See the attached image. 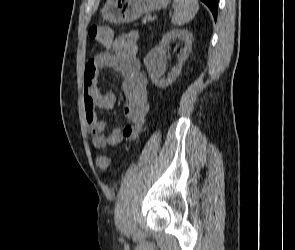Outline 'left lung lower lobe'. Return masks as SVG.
<instances>
[{
	"label": "left lung lower lobe",
	"mask_w": 295,
	"mask_h": 250,
	"mask_svg": "<svg viewBox=\"0 0 295 250\" xmlns=\"http://www.w3.org/2000/svg\"><path fill=\"white\" fill-rule=\"evenodd\" d=\"M203 3H205L209 9L211 10L214 19L217 18V7H218V0H201Z\"/></svg>",
	"instance_id": "left-lung-lower-lobe-1"
}]
</instances>
